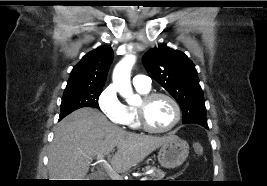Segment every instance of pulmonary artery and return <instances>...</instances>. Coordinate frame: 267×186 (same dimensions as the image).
<instances>
[{"label":"pulmonary artery","instance_id":"e3ab8cb5","mask_svg":"<svg viewBox=\"0 0 267 186\" xmlns=\"http://www.w3.org/2000/svg\"><path fill=\"white\" fill-rule=\"evenodd\" d=\"M135 87L149 90L151 88V79L146 75H136L133 78Z\"/></svg>","mask_w":267,"mask_h":186}]
</instances>
